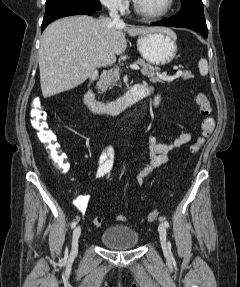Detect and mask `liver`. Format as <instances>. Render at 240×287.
I'll return each instance as SVG.
<instances>
[{"label": "liver", "mask_w": 240, "mask_h": 287, "mask_svg": "<svg viewBox=\"0 0 240 287\" xmlns=\"http://www.w3.org/2000/svg\"><path fill=\"white\" fill-rule=\"evenodd\" d=\"M135 27L108 17L71 16L51 23L43 32L39 49L40 84L44 98L82 84L97 67L109 65L123 53L125 33L136 36L168 30Z\"/></svg>", "instance_id": "liver-1"}]
</instances>
